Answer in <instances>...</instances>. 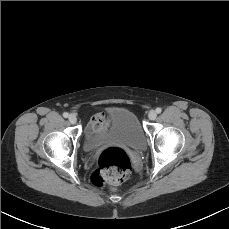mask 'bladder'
<instances>
[{
    "label": "bladder",
    "instance_id": "bladder-1",
    "mask_svg": "<svg viewBox=\"0 0 229 229\" xmlns=\"http://www.w3.org/2000/svg\"><path fill=\"white\" fill-rule=\"evenodd\" d=\"M112 142L122 144L135 152L146 150L147 136L132 111L125 108H112L105 131L95 133L86 131L84 149L91 152Z\"/></svg>",
    "mask_w": 229,
    "mask_h": 229
}]
</instances>
